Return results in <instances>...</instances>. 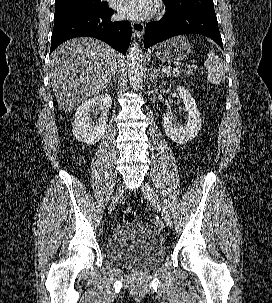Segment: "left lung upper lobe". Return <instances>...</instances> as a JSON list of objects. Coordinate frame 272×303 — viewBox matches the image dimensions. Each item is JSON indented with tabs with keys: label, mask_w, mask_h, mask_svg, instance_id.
<instances>
[{
	"label": "left lung upper lobe",
	"mask_w": 272,
	"mask_h": 303,
	"mask_svg": "<svg viewBox=\"0 0 272 303\" xmlns=\"http://www.w3.org/2000/svg\"><path fill=\"white\" fill-rule=\"evenodd\" d=\"M168 15H178L188 11H214L213 0H163Z\"/></svg>",
	"instance_id": "1"
}]
</instances>
